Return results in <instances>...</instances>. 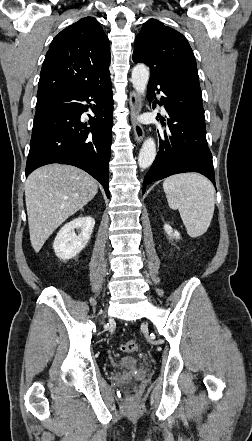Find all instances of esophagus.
Returning a JSON list of instances; mask_svg holds the SVG:
<instances>
[{"label": "esophagus", "instance_id": "34e87169", "mask_svg": "<svg viewBox=\"0 0 252 441\" xmlns=\"http://www.w3.org/2000/svg\"><path fill=\"white\" fill-rule=\"evenodd\" d=\"M129 104L131 109V120L134 138L137 143H140L144 138V128L138 120V116L141 113L142 105L140 97L135 91H131L129 94Z\"/></svg>", "mask_w": 252, "mask_h": 441}]
</instances>
